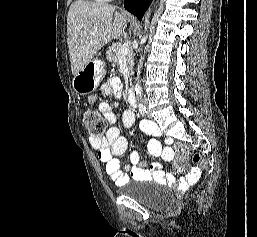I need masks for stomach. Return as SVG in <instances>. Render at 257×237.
Returning <instances> with one entry per match:
<instances>
[{"mask_svg": "<svg viewBox=\"0 0 257 237\" xmlns=\"http://www.w3.org/2000/svg\"><path fill=\"white\" fill-rule=\"evenodd\" d=\"M104 74V64L101 61H90L74 76L72 81L74 91L80 95L90 94L97 88Z\"/></svg>", "mask_w": 257, "mask_h": 237, "instance_id": "stomach-1", "label": "stomach"}]
</instances>
